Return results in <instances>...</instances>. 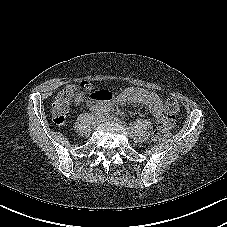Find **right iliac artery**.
<instances>
[{
	"instance_id": "82829eb1",
	"label": "right iliac artery",
	"mask_w": 227,
	"mask_h": 227,
	"mask_svg": "<svg viewBox=\"0 0 227 227\" xmlns=\"http://www.w3.org/2000/svg\"><path fill=\"white\" fill-rule=\"evenodd\" d=\"M99 117V113L96 114V116L94 117V119L98 118Z\"/></svg>"
}]
</instances>
